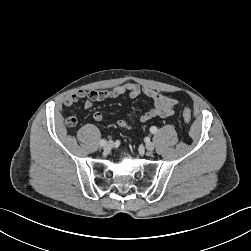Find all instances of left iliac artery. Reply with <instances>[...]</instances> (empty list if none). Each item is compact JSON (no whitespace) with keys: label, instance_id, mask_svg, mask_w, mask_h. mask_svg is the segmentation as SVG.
Returning <instances> with one entry per match:
<instances>
[{"label":"left iliac artery","instance_id":"44dca946","mask_svg":"<svg viewBox=\"0 0 251 251\" xmlns=\"http://www.w3.org/2000/svg\"><path fill=\"white\" fill-rule=\"evenodd\" d=\"M150 132H151L152 134H155V133L157 132V127H156V126L150 127Z\"/></svg>","mask_w":251,"mask_h":251}]
</instances>
